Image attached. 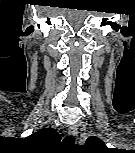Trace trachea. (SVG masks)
I'll return each mask as SVG.
<instances>
[{
	"mask_svg": "<svg viewBox=\"0 0 135 153\" xmlns=\"http://www.w3.org/2000/svg\"><path fill=\"white\" fill-rule=\"evenodd\" d=\"M65 144H74V137L72 135L67 136L64 141Z\"/></svg>",
	"mask_w": 135,
	"mask_h": 153,
	"instance_id": "3493384b",
	"label": "trachea"
}]
</instances>
